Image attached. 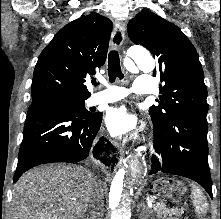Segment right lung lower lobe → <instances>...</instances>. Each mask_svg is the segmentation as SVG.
<instances>
[{
	"label": "right lung lower lobe",
	"instance_id": "98d812e1",
	"mask_svg": "<svg viewBox=\"0 0 221 219\" xmlns=\"http://www.w3.org/2000/svg\"><path fill=\"white\" fill-rule=\"evenodd\" d=\"M102 113L82 118L63 106L30 105L24 125L14 182L30 168L52 162H78L88 156L99 158L112 149L97 138ZM108 164L109 160L101 158Z\"/></svg>",
	"mask_w": 221,
	"mask_h": 219
}]
</instances>
